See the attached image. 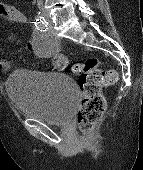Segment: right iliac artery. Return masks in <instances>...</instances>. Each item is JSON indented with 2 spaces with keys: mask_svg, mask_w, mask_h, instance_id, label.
<instances>
[{
  "mask_svg": "<svg viewBox=\"0 0 143 170\" xmlns=\"http://www.w3.org/2000/svg\"><path fill=\"white\" fill-rule=\"evenodd\" d=\"M34 23H35L36 29L39 31H46L48 29V23L42 16L37 17Z\"/></svg>",
  "mask_w": 143,
  "mask_h": 170,
  "instance_id": "obj_1",
  "label": "right iliac artery"
}]
</instances>
